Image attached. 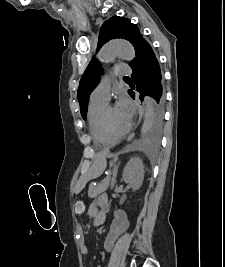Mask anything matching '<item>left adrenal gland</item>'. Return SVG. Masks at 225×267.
<instances>
[{"instance_id": "obj_1", "label": "left adrenal gland", "mask_w": 225, "mask_h": 267, "mask_svg": "<svg viewBox=\"0 0 225 267\" xmlns=\"http://www.w3.org/2000/svg\"><path fill=\"white\" fill-rule=\"evenodd\" d=\"M118 167H119V163L114 165L111 188H113L115 183H116V176H117V172H118Z\"/></svg>"}]
</instances>
